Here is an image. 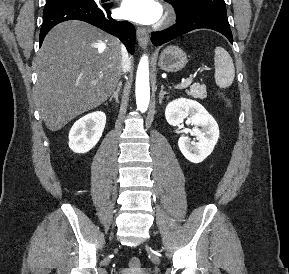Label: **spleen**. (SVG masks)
I'll use <instances>...</instances> for the list:
<instances>
[{"label": "spleen", "mask_w": 289, "mask_h": 274, "mask_svg": "<svg viewBox=\"0 0 289 274\" xmlns=\"http://www.w3.org/2000/svg\"><path fill=\"white\" fill-rule=\"evenodd\" d=\"M215 82L220 88H228L234 81L235 68L229 53L222 47H216L215 57Z\"/></svg>", "instance_id": "3e777b00"}]
</instances>
